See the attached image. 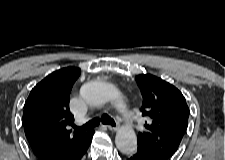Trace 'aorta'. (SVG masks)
Returning <instances> with one entry per match:
<instances>
[{
	"instance_id": "1",
	"label": "aorta",
	"mask_w": 225,
	"mask_h": 160,
	"mask_svg": "<svg viewBox=\"0 0 225 160\" xmlns=\"http://www.w3.org/2000/svg\"><path fill=\"white\" fill-rule=\"evenodd\" d=\"M81 95L90 105H100L113 101L117 96L114 85L103 82H89L81 88ZM117 148L124 154H131L137 149V137L135 131L130 127H121L115 137Z\"/></svg>"
}]
</instances>
